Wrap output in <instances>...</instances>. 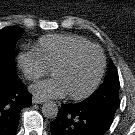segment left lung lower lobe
<instances>
[{
  "mask_svg": "<svg viewBox=\"0 0 135 135\" xmlns=\"http://www.w3.org/2000/svg\"><path fill=\"white\" fill-rule=\"evenodd\" d=\"M119 97L110 92L88 97L76 104H62L57 119L50 124L52 135H103L111 126Z\"/></svg>",
  "mask_w": 135,
  "mask_h": 135,
  "instance_id": "0a47b994",
  "label": "left lung lower lobe"
}]
</instances>
